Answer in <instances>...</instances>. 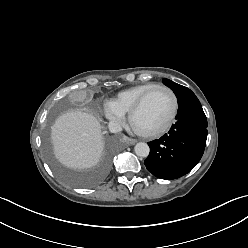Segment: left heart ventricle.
<instances>
[{
    "instance_id": "left-heart-ventricle-1",
    "label": "left heart ventricle",
    "mask_w": 248,
    "mask_h": 248,
    "mask_svg": "<svg viewBox=\"0 0 248 248\" xmlns=\"http://www.w3.org/2000/svg\"><path fill=\"white\" fill-rule=\"evenodd\" d=\"M172 99L162 89L154 91L133 120L134 127L141 132H152L166 123L172 112Z\"/></svg>"
}]
</instances>
